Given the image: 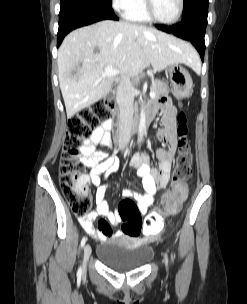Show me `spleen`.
<instances>
[{
    "instance_id": "3e777b00",
    "label": "spleen",
    "mask_w": 247,
    "mask_h": 304,
    "mask_svg": "<svg viewBox=\"0 0 247 304\" xmlns=\"http://www.w3.org/2000/svg\"><path fill=\"white\" fill-rule=\"evenodd\" d=\"M198 63H199V59H198ZM199 68H200V63H199V66L196 69H199Z\"/></svg>"
}]
</instances>
